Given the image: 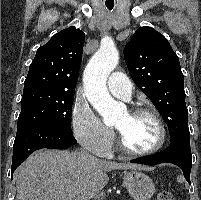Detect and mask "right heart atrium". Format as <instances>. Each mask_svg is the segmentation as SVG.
<instances>
[{
    "label": "right heart atrium",
    "instance_id": "obj_1",
    "mask_svg": "<svg viewBox=\"0 0 201 200\" xmlns=\"http://www.w3.org/2000/svg\"><path fill=\"white\" fill-rule=\"evenodd\" d=\"M72 127L77 141L86 150L98 156H107L114 141V133L86 103L75 105Z\"/></svg>",
    "mask_w": 201,
    "mask_h": 200
}]
</instances>
